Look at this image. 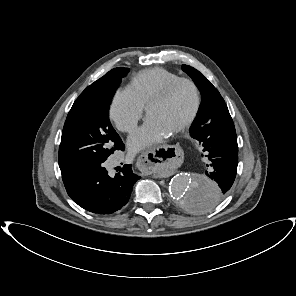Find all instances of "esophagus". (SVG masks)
I'll return each mask as SVG.
<instances>
[{
  "instance_id": "1",
  "label": "esophagus",
  "mask_w": 296,
  "mask_h": 296,
  "mask_svg": "<svg viewBox=\"0 0 296 296\" xmlns=\"http://www.w3.org/2000/svg\"><path fill=\"white\" fill-rule=\"evenodd\" d=\"M182 159L183 152L179 147L160 142L155 147L139 153L135 158V165L141 173H158L169 170L172 165L179 164Z\"/></svg>"
}]
</instances>
